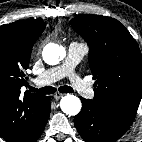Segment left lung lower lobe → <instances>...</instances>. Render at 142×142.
I'll return each instance as SVG.
<instances>
[{"label": "left lung lower lobe", "mask_w": 142, "mask_h": 142, "mask_svg": "<svg viewBox=\"0 0 142 142\" xmlns=\"http://www.w3.org/2000/svg\"><path fill=\"white\" fill-rule=\"evenodd\" d=\"M82 110L74 117V124L86 142H115L132 123L121 120L93 100L81 98Z\"/></svg>", "instance_id": "obj_1"}]
</instances>
